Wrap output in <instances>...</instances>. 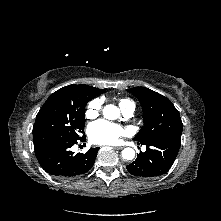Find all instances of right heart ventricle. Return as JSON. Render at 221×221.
<instances>
[{"label": "right heart ventricle", "instance_id": "obj_1", "mask_svg": "<svg viewBox=\"0 0 221 221\" xmlns=\"http://www.w3.org/2000/svg\"><path fill=\"white\" fill-rule=\"evenodd\" d=\"M131 104H133V102L129 99L122 98L119 100V105H120L121 109H125L126 107H128Z\"/></svg>", "mask_w": 221, "mask_h": 221}]
</instances>
